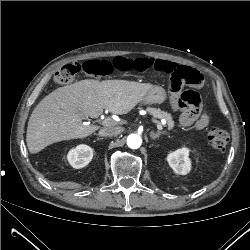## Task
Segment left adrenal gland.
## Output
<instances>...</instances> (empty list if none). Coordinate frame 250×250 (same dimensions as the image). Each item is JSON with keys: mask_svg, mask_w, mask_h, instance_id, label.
Returning <instances> with one entry per match:
<instances>
[{"mask_svg": "<svg viewBox=\"0 0 250 250\" xmlns=\"http://www.w3.org/2000/svg\"><path fill=\"white\" fill-rule=\"evenodd\" d=\"M162 134H166V132H158V133L151 132L150 137L151 139L155 140L156 138H159V136Z\"/></svg>", "mask_w": 250, "mask_h": 250, "instance_id": "left-adrenal-gland-1", "label": "left adrenal gland"}]
</instances>
